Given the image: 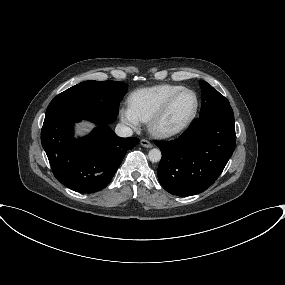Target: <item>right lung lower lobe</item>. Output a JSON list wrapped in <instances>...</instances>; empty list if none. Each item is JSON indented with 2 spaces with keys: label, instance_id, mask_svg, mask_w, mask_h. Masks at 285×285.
<instances>
[{
  "label": "right lung lower lobe",
  "instance_id": "1",
  "mask_svg": "<svg viewBox=\"0 0 285 285\" xmlns=\"http://www.w3.org/2000/svg\"><path fill=\"white\" fill-rule=\"evenodd\" d=\"M117 115L70 98L55 97L46 110L41 143L56 179L79 193L97 192L108 185L136 137H118L108 124ZM88 119L98 126L85 138L73 137V125Z\"/></svg>",
  "mask_w": 285,
  "mask_h": 285
}]
</instances>
